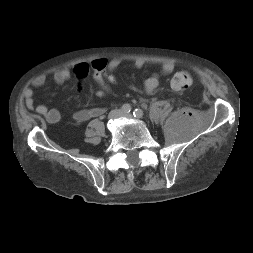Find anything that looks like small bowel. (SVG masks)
Segmentation results:
<instances>
[{
	"instance_id": "small-bowel-1",
	"label": "small bowel",
	"mask_w": 253,
	"mask_h": 253,
	"mask_svg": "<svg viewBox=\"0 0 253 253\" xmlns=\"http://www.w3.org/2000/svg\"><path fill=\"white\" fill-rule=\"evenodd\" d=\"M108 70L110 72L117 71L122 66V60L119 58H114L107 61ZM143 60H135L133 67L140 69L144 66ZM174 70V64L171 62H165L162 64L160 71L158 73L151 74L144 82L145 90L148 93H153L157 90L160 85V76L169 75ZM90 72V66L86 62L77 63L73 67V71L70 69H62L54 74V81L57 84H63L71 78L72 75L77 77L79 80H83ZM46 84V78L44 76L37 77L33 81L35 87H42ZM25 104L29 110L35 111L39 116L43 117L44 120L49 124H55L61 119V112L57 108H48L46 105L36 106V101L34 97V90L29 88L25 91ZM105 110L101 107H89L83 108L76 111L73 114V119L77 123H84L93 118L100 117L104 114Z\"/></svg>"
}]
</instances>
